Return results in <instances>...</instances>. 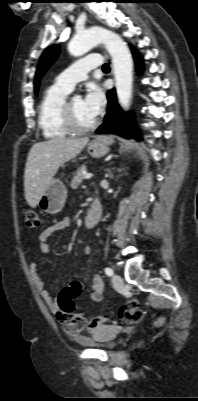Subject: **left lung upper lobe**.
Returning <instances> with one entry per match:
<instances>
[{"instance_id": "left-lung-upper-lobe-1", "label": "left lung upper lobe", "mask_w": 198, "mask_h": 401, "mask_svg": "<svg viewBox=\"0 0 198 401\" xmlns=\"http://www.w3.org/2000/svg\"><path fill=\"white\" fill-rule=\"evenodd\" d=\"M60 48L58 45H52L46 48L40 58L38 68L35 75V93L38 91L39 82L49 66L59 55Z\"/></svg>"}]
</instances>
